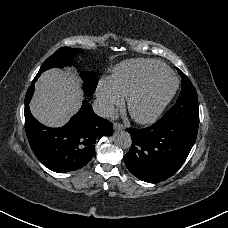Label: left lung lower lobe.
Returning <instances> with one entry per match:
<instances>
[{"label":"left lung lower lobe","instance_id":"left-lung-lower-lobe-1","mask_svg":"<svg viewBox=\"0 0 228 228\" xmlns=\"http://www.w3.org/2000/svg\"><path fill=\"white\" fill-rule=\"evenodd\" d=\"M132 145L124 156L129 171L138 179L158 183L171 177L184 163L193 147L198 125L192 123L128 128Z\"/></svg>","mask_w":228,"mask_h":228}]
</instances>
